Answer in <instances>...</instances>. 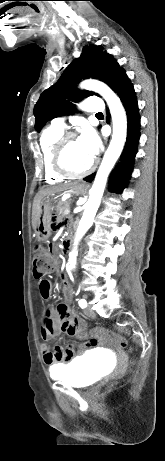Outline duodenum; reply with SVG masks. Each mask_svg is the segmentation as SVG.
<instances>
[{"instance_id": "410a0bca", "label": "duodenum", "mask_w": 165, "mask_h": 461, "mask_svg": "<svg viewBox=\"0 0 165 461\" xmlns=\"http://www.w3.org/2000/svg\"><path fill=\"white\" fill-rule=\"evenodd\" d=\"M71 239H72V236H71V234L69 233V234L65 237V243H66V244H69L70 241H71Z\"/></svg>"}]
</instances>
